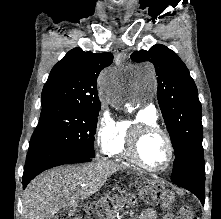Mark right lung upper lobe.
<instances>
[{"label":"right lung upper lobe","instance_id":"cb5924a9","mask_svg":"<svg viewBox=\"0 0 221 219\" xmlns=\"http://www.w3.org/2000/svg\"><path fill=\"white\" fill-rule=\"evenodd\" d=\"M113 60L111 53L69 51L52 69L42 91L41 104H66L81 107H101L97 78Z\"/></svg>","mask_w":221,"mask_h":219}]
</instances>
